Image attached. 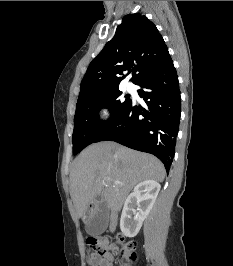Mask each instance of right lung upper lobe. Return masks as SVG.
Instances as JSON below:
<instances>
[{"mask_svg": "<svg viewBox=\"0 0 233 266\" xmlns=\"http://www.w3.org/2000/svg\"><path fill=\"white\" fill-rule=\"evenodd\" d=\"M170 58L167 46L156 26L141 14L126 15L113 39L90 63L85 73L78 100L96 93L117 89L132 68L138 84L147 74Z\"/></svg>", "mask_w": 233, "mask_h": 266, "instance_id": "right-lung-upper-lobe-1", "label": "right lung upper lobe"}]
</instances>
